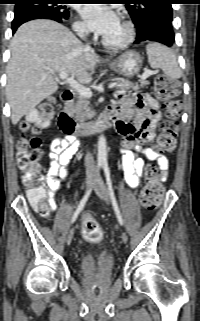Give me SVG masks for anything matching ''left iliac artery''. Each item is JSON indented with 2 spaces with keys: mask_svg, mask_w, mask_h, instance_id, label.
<instances>
[{
  "mask_svg": "<svg viewBox=\"0 0 200 321\" xmlns=\"http://www.w3.org/2000/svg\"><path fill=\"white\" fill-rule=\"evenodd\" d=\"M103 169H104V173H105V176H106V182H107V185H108L109 195H110V198H111L112 205L114 207L116 216L118 218V222L120 223V225H123V218H122V215H121V212H120V209L118 207V203H117V200H116V197H115V194H114V190H113V187H112V181H111V177H110V170H109L107 162L103 163Z\"/></svg>",
  "mask_w": 200,
  "mask_h": 321,
  "instance_id": "44dca946",
  "label": "left iliac artery"
}]
</instances>
